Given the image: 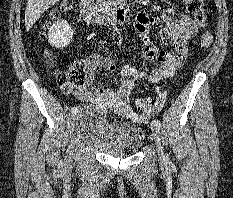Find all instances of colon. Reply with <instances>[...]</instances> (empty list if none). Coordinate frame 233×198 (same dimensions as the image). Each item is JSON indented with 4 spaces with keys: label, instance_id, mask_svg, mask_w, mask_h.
Masks as SVG:
<instances>
[{
    "label": "colon",
    "instance_id": "5ec220e1",
    "mask_svg": "<svg viewBox=\"0 0 233 198\" xmlns=\"http://www.w3.org/2000/svg\"><path fill=\"white\" fill-rule=\"evenodd\" d=\"M186 8L194 17L197 25L203 26L205 24L206 16L204 12L203 0H184ZM72 0H64L60 8L52 13V18L58 16L62 11L70 8ZM212 34L206 31L201 38L200 47L207 51L212 44ZM48 61L52 60L51 54L47 53ZM57 84L64 91H70L74 87L83 85L85 81V72L81 64H76L68 70L60 71L56 77ZM136 108L146 114H151L161 106V100L156 98L144 97L136 100Z\"/></svg>",
    "mask_w": 233,
    "mask_h": 198
}]
</instances>
